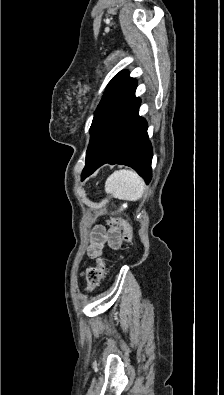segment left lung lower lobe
<instances>
[{"label":"left lung lower lobe","mask_w":224,"mask_h":395,"mask_svg":"<svg viewBox=\"0 0 224 395\" xmlns=\"http://www.w3.org/2000/svg\"><path fill=\"white\" fill-rule=\"evenodd\" d=\"M136 80L108 102L95 116L82 179L105 163L134 168L151 180L152 146L147 123L138 114L140 99L135 97Z\"/></svg>","instance_id":"obj_1"}]
</instances>
